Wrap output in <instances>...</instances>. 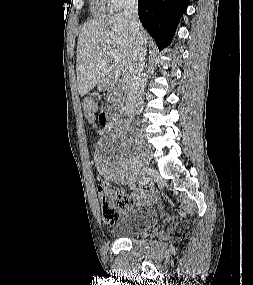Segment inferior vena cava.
<instances>
[{
    "label": "inferior vena cava",
    "instance_id": "602c4592",
    "mask_svg": "<svg viewBox=\"0 0 253 285\" xmlns=\"http://www.w3.org/2000/svg\"><path fill=\"white\" fill-rule=\"evenodd\" d=\"M124 18L128 21L132 34V45L124 68V79L127 88L125 113L132 117L142 106L144 82L142 72L146 54V41L143 27L138 18V0H125Z\"/></svg>",
    "mask_w": 253,
    "mask_h": 285
}]
</instances>
